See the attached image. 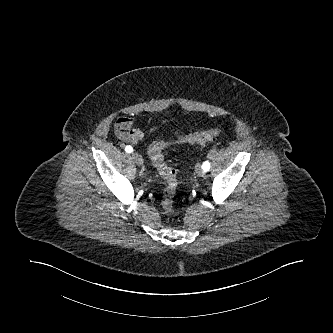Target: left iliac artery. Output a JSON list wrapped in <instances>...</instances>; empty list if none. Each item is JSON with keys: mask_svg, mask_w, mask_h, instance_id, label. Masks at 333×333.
<instances>
[{"mask_svg": "<svg viewBox=\"0 0 333 333\" xmlns=\"http://www.w3.org/2000/svg\"><path fill=\"white\" fill-rule=\"evenodd\" d=\"M202 169L205 171V172H207V171H209V169H210V162L209 161H205L203 164H202Z\"/></svg>", "mask_w": 333, "mask_h": 333, "instance_id": "left-iliac-artery-1", "label": "left iliac artery"}]
</instances>
